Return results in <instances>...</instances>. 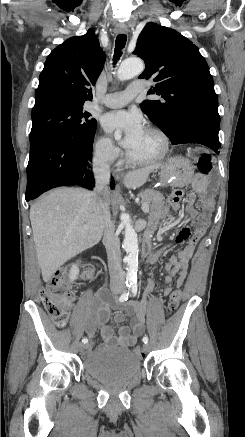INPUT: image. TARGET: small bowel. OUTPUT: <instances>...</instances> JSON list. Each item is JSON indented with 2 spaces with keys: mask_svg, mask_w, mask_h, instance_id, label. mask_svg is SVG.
Masks as SVG:
<instances>
[{
  "mask_svg": "<svg viewBox=\"0 0 245 437\" xmlns=\"http://www.w3.org/2000/svg\"><path fill=\"white\" fill-rule=\"evenodd\" d=\"M192 187L194 192L201 195L204 198V202H207V196L213 190L209 185L208 179L204 176L198 175L194 178ZM169 208L179 211L180 205L172 202L161 205L154 215L152 227H155L167 216ZM186 209L192 218V226H194V230L191 232V226H184L179 230L176 236V242L181 243L187 241V245L176 255H171L165 266L167 270V275L165 277L166 283H171L175 278V286L177 287L184 283L195 248L209 225V216L206 213L198 212L193 198L188 201ZM168 247L169 245L155 251L151 255L150 264H154L160 254ZM153 287L154 281L151 279L148 280L145 286L146 291L149 292ZM171 291L172 286H167L164 289V294L169 295ZM146 310V297L139 301H131L127 303L123 310L117 312L114 316L115 323L119 325L118 331L115 333L114 329L106 324L110 319V309L105 294L102 291L92 300L91 313L86 325V332L92 340L96 337V334L100 332V335L104 340V347L126 348L135 344L138 337L144 333ZM126 315L131 317L130 326L123 324ZM92 352L93 347L89 346L87 354Z\"/></svg>",
  "mask_w": 245,
  "mask_h": 437,
  "instance_id": "obj_1",
  "label": "small bowel"
}]
</instances>
